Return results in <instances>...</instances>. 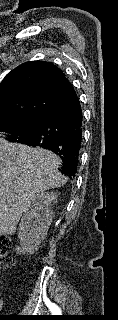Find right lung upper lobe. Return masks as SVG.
I'll return each mask as SVG.
<instances>
[{"label":"right lung upper lobe","instance_id":"cb5924a9","mask_svg":"<svg viewBox=\"0 0 118 320\" xmlns=\"http://www.w3.org/2000/svg\"><path fill=\"white\" fill-rule=\"evenodd\" d=\"M76 96L63 72L50 62L21 64L0 84V120H46L59 105Z\"/></svg>","mask_w":118,"mask_h":320}]
</instances>
